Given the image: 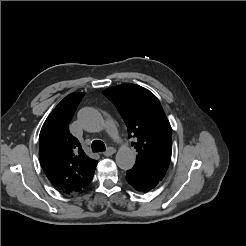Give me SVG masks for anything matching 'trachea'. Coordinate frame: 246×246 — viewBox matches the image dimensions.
Here are the masks:
<instances>
[{
  "instance_id": "1",
  "label": "trachea",
  "mask_w": 246,
  "mask_h": 246,
  "mask_svg": "<svg viewBox=\"0 0 246 246\" xmlns=\"http://www.w3.org/2000/svg\"><path fill=\"white\" fill-rule=\"evenodd\" d=\"M91 147L93 152H103L106 150L105 144L100 140H94Z\"/></svg>"
}]
</instances>
